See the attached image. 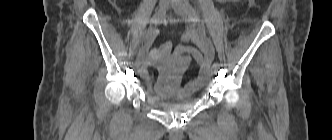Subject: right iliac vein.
<instances>
[{
  "label": "right iliac vein",
  "instance_id": "right-iliac-vein-1",
  "mask_svg": "<svg viewBox=\"0 0 332 140\" xmlns=\"http://www.w3.org/2000/svg\"><path fill=\"white\" fill-rule=\"evenodd\" d=\"M169 1H170V0H160V1H159V8H160V9H165V8L167 7ZM144 58H145V52H144L143 49H140V50H139V53H138V56H137V58H136L135 65H136L137 67H139V66L142 64V62L144 61Z\"/></svg>",
  "mask_w": 332,
  "mask_h": 140
}]
</instances>
